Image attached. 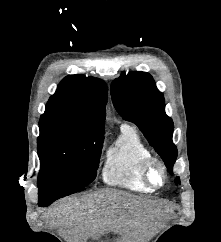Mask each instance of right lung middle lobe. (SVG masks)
Instances as JSON below:
<instances>
[{"label":"right lung middle lobe","instance_id":"right-lung-middle-lobe-1","mask_svg":"<svg viewBox=\"0 0 221 242\" xmlns=\"http://www.w3.org/2000/svg\"><path fill=\"white\" fill-rule=\"evenodd\" d=\"M103 140V136L71 128H40L38 187H84L91 183L97 175Z\"/></svg>","mask_w":221,"mask_h":242}]
</instances>
